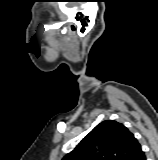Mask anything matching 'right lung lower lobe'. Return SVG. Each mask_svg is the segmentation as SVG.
Here are the masks:
<instances>
[{
    "label": "right lung lower lobe",
    "instance_id": "obj_1",
    "mask_svg": "<svg viewBox=\"0 0 158 160\" xmlns=\"http://www.w3.org/2000/svg\"><path fill=\"white\" fill-rule=\"evenodd\" d=\"M133 160H146L145 153L143 151L140 152Z\"/></svg>",
    "mask_w": 158,
    "mask_h": 160
}]
</instances>
